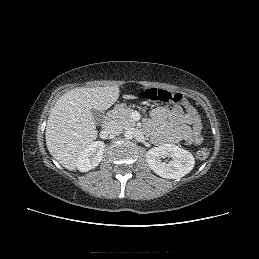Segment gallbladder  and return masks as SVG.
I'll return each mask as SVG.
<instances>
[{
	"mask_svg": "<svg viewBox=\"0 0 259 259\" xmlns=\"http://www.w3.org/2000/svg\"><path fill=\"white\" fill-rule=\"evenodd\" d=\"M92 115L96 124H101L104 120V112L99 110H92Z\"/></svg>",
	"mask_w": 259,
	"mask_h": 259,
	"instance_id": "1",
	"label": "gallbladder"
}]
</instances>
